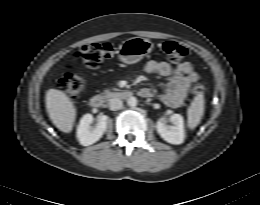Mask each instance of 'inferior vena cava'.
I'll use <instances>...</instances> for the list:
<instances>
[{
    "mask_svg": "<svg viewBox=\"0 0 260 205\" xmlns=\"http://www.w3.org/2000/svg\"><path fill=\"white\" fill-rule=\"evenodd\" d=\"M122 106H123V102L119 98H112L109 101V108H110V110L116 111V110L121 109Z\"/></svg>",
    "mask_w": 260,
    "mask_h": 205,
    "instance_id": "obj_1",
    "label": "inferior vena cava"
}]
</instances>
